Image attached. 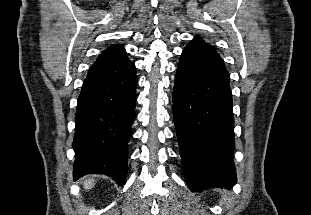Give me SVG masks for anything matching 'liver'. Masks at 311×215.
<instances>
[{
    "mask_svg": "<svg viewBox=\"0 0 311 215\" xmlns=\"http://www.w3.org/2000/svg\"><path fill=\"white\" fill-rule=\"evenodd\" d=\"M83 186L87 190L93 188V186H94V178L88 177L87 179H85L84 182H83Z\"/></svg>",
    "mask_w": 311,
    "mask_h": 215,
    "instance_id": "obj_1",
    "label": "liver"
}]
</instances>
